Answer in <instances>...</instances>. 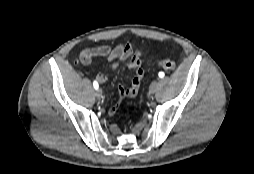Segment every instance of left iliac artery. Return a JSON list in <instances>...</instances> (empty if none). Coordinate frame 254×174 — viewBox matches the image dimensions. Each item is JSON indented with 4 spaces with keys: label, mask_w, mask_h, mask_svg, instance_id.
Returning <instances> with one entry per match:
<instances>
[{
    "label": "left iliac artery",
    "mask_w": 254,
    "mask_h": 174,
    "mask_svg": "<svg viewBox=\"0 0 254 174\" xmlns=\"http://www.w3.org/2000/svg\"><path fill=\"white\" fill-rule=\"evenodd\" d=\"M158 76H159L160 78H163V77L165 76V74H164V72H159Z\"/></svg>",
    "instance_id": "left-iliac-artery-1"
}]
</instances>
